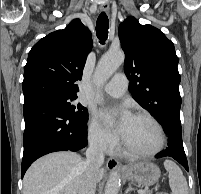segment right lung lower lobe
Returning <instances> with one entry per match:
<instances>
[{"instance_id": "98d812e1", "label": "right lung lower lobe", "mask_w": 201, "mask_h": 194, "mask_svg": "<svg viewBox=\"0 0 201 194\" xmlns=\"http://www.w3.org/2000/svg\"><path fill=\"white\" fill-rule=\"evenodd\" d=\"M22 177L39 157L56 151H80L87 145V126L61 107L41 99L24 102Z\"/></svg>"}]
</instances>
